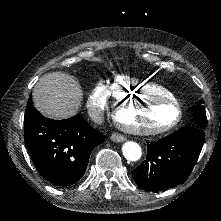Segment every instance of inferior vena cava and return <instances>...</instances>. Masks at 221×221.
<instances>
[{"label": "inferior vena cava", "instance_id": "inferior-vena-cava-1", "mask_svg": "<svg viewBox=\"0 0 221 221\" xmlns=\"http://www.w3.org/2000/svg\"><path fill=\"white\" fill-rule=\"evenodd\" d=\"M94 122L97 124H102L104 122V113L102 110H98V114L96 118H94Z\"/></svg>", "mask_w": 221, "mask_h": 221}]
</instances>
